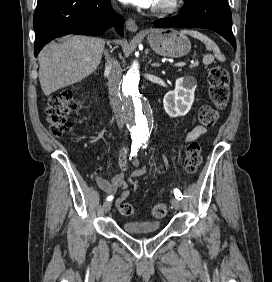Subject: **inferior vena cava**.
Wrapping results in <instances>:
<instances>
[{
    "label": "inferior vena cava",
    "mask_w": 272,
    "mask_h": 282,
    "mask_svg": "<svg viewBox=\"0 0 272 282\" xmlns=\"http://www.w3.org/2000/svg\"><path fill=\"white\" fill-rule=\"evenodd\" d=\"M106 72L108 73V89L110 103L115 113L117 125L120 129H122L125 122L119 94L122 76L121 67L116 60L109 61L107 59Z\"/></svg>",
    "instance_id": "obj_1"
}]
</instances>
